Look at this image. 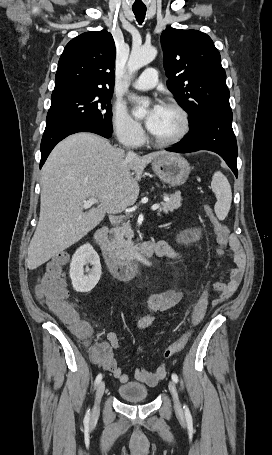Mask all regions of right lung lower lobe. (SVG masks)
<instances>
[{
    "instance_id": "obj_1",
    "label": "right lung lower lobe",
    "mask_w": 272,
    "mask_h": 455,
    "mask_svg": "<svg viewBox=\"0 0 272 455\" xmlns=\"http://www.w3.org/2000/svg\"><path fill=\"white\" fill-rule=\"evenodd\" d=\"M77 132H92L101 135L105 138H110L113 131L106 129L95 122L79 121L61 123L45 128L42 141H41V161L40 168L46 161L49 153L62 139Z\"/></svg>"
}]
</instances>
